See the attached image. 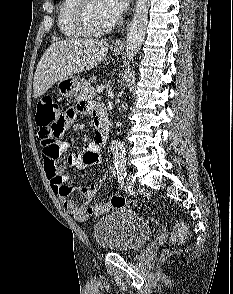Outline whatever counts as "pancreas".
<instances>
[{
    "label": "pancreas",
    "instance_id": "1",
    "mask_svg": "<svg viewBox=\"0 0 233 294\" xmlns=\"http://www.w3.org/2000/svg\"><path fill=\"white\" fill-rule=\"evenodd\" d=\"M95 79L92 77L90 81H84L81 85L80 94L78 96V100H89L92 99L96 95V90L93 86H91V82Z\"/></svg>",
    "mask_w": 233,
    "mask_h": 294
}]
</instances>
